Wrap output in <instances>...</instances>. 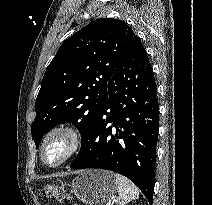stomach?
Instances as JSON below:
<instances>
[{"instance_id": "1", "label": "stomach", "mask_w": 212, "mask_h": 205, "mask_svg": "<svg viewBox=\"0 0 212 205\" xmlns=\"http://www.w3.org/2000/svg\"><path fill=\"white\" fill-rule=\"evenodd\" d=\"M70 186L72 193L86 205H101L113 198L117 191L114 174L100 169L78 174Z\"/></svg>"}]
</instances>
